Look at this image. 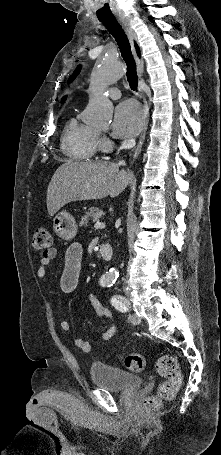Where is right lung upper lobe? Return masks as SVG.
<instances>
[{
	"instance_id": "cb5924a9",
	"label": "right lung upper lobe",
	"mask_w": 221,
	"mask_h": 455,
	"mask_svg": "<svg viewBox=\"0 0 221 455\" xmlns=\"http://www.w3.org/2000/svg\"><path fill=\"white\" fill-rule=\"evenodd\" d=\"M136 49H137V53L139 54V48L136 46ZM65 100V98H63V101Z\"/></svg>"
}]
</instances>
